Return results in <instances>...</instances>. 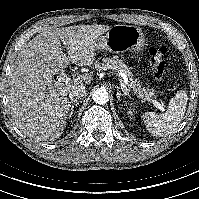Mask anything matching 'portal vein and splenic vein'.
I'll return each mask as SVG.
<instances>
[{
  "instance_id": "18ae733b",
  "label": "portal vein and splenic vein",
  "mask_w": 199,
  "mask_h": 199,
  "mask_svg": "<svg viewBox=\"0 0 199 199\" xmlns=\"http://www.w3.org/2000/svg\"><path fill=\"white\" fill-rule=\"evenodd\" d=\"M70 78H71V76H67V75L64 74V73H62L60 76H58V80H62V81H64V80H69ZM123 79H124V80L119 79L121 88H122L124 94L131 98V96H130V94H129V90H128L127 87H126V84H127L128 80H127L125 77H124ZM150 101H151V103H152L155 107H157L159 110H164V105H163V104L159 103V102L156 101V100H150Z\"/></svg>"
}]
</instances>
